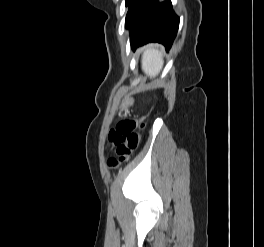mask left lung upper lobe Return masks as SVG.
<instances>
[{"instance_id": "left-lung-upper-lobe-1", "label": "left lung upper lobe", "mask_w": 264, "mask_h": 247, "mask_svg": "<svg viewBox=\"0 0 264 247\" xmlns=\"http://www.w3.org/2000/svg\"><path fill=\"white\" fill-rule=\"evenodd\" d=\"M146 0H125L126 7L128 6V12L125 20V27L130 23L132 18L138 13L142 5Z\"/></svg>"}]
</instances>
